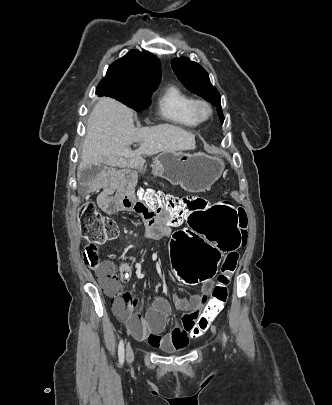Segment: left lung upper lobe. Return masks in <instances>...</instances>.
I'll return each mask as SVG.
<instances>
[{"instance_id": "obj_1", "label": "left lung upper lobe", "mask_w": 332, "mask_h": 405, "mask_svg": "<svg viewBox=\"0 0 332 405\" xmlns=\"http://www.w3.org/2000/svg\"><path fill=\"white\" fill-rule=\"evenodd\" d=\"M171 66L178 79L187 89L217 106L218 116L221 123H223L224 116L220 105V94L210 83L208 73L203 67L186 57L173 59Z\"/></svg>"}]
</instances>
